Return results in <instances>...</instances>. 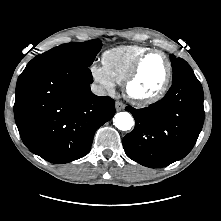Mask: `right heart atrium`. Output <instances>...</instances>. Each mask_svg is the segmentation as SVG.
Returning a JSON list of instances; mask_svg holds the SVG:
<instances>
[{
	"instance_id": "d8ad5b80",
	"label": "right heart atrium",
	"mask_w": 221,
	"mask_h": 221,
	"mask_svg": "<svg viewBox=\"0 0 221 221\" xmlns=\"http://www.w3.org/2000/svg\"><path fill=\"white\" fill-rule=\"evenodd\" d=\"M90 75L95 83L108 94H113L115 92V82L106 72L103 66L98 64H92L90 66Z\"/></svg>"
}]
</instances>
